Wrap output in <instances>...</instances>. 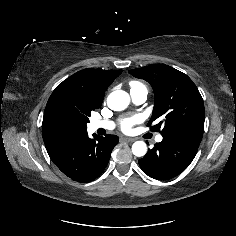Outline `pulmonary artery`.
I'll use <instances>...</instances> for the list:
<instances>
[{
	"mask_svg": "<svg viewBox=\"0 0 236 236\" xmlns=\"http://www.w3.org/2000/svg\"><path fill=\"white\" fill-rule=\"evenodd\" d=\"M131 98L136 104H142L147 100L148 92L145 89H134L130 91ZM91 127L93 130L97 129H113L114 124L110 121H98L95 120L91 123ZM163 140V136L161 134L157 135L155 138L156 142H161Z\"/></svg>",
	"mask_w": 236,
	"mask_h": 236,
	"instance_id": "pulmonary-artery-1",
	"label": "pulmonary artery"
}]
</instances>
